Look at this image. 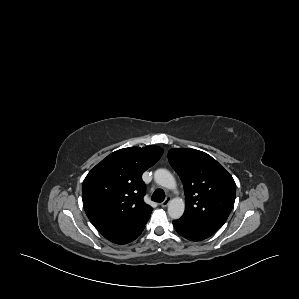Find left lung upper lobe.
Returning a JSON list of instances; mask_svg holds the SVG:
<instances>
[{
    "mask_svg": "<svg viewBox=\"0 0 299 299\" xmlns=\"http://www.w3.org/2000/svg\"><path fill=\"white\" fill-rule=\"evenodd\" d=\"M168 159L182 180L185 212L182 219L208 231L227 220L236 196L232 176L210 155L195 149H171Z\"/></svg>",
    "mask_w": 299,
    "mask_h": 299,
    "instance_id": "left-lung-upper-lobe-1",
    "label": "left lung upper lobe"
}]
</instances>
